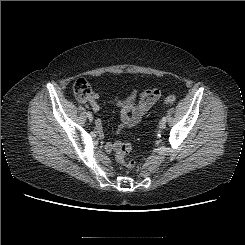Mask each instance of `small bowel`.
<instances>
[{"instance_id": "c3829d8e", "label": "small bowel", "mask_w": 245, "mask_h": 245, "mask_svg": "<svg viewBox=\"0 0 245 245\" xmlns=\"http://www.w3.org/2000/svg\"><path fill=\"white\" fill-rule=\"evenodd\" d=\"M138 95V90L132 88L128 95L121 97L115 96L113 99L118 106L121 107V128H127L137 125L144 114H146L151 107L159 100L161 92L157 88H147L139 94L138 103L135 102ZM98 96L92 94L87 100V103L91 106L94 112L100 110L98 103ZM118 143L108 142L105 146L106 152L110 153L116 149Z\"/></svg>"}]
</instances>
